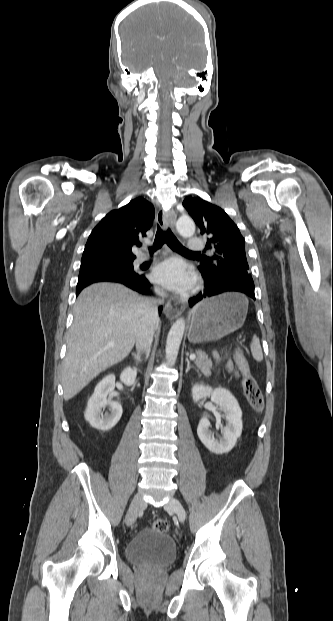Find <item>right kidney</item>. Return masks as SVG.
Masks as SVG:
<instances>
[{
  "label": "right kidney",
  "mask_w": 333,
  "mask_h": 621,
  "mask_svg": "<svg viewBox=\"0 0 333 621\" xmlns=\"http://www.w3.org/2000/svg\"><path fill=\"white\" fill-rule=\"evenodd\" d=\"M137 369L127 367L120 375V380L131 386L136 379ZM115 388V376L107 375L95 387L93 395L87 403L84 413L85 420L93 427L102 431L111 430L122 416V405L118 401L108 400L107 396ZM108 408L110 413L102 414V409Z\"/></svg>",
  "instance_id": "right-kidney-1"
}]
</instances>
